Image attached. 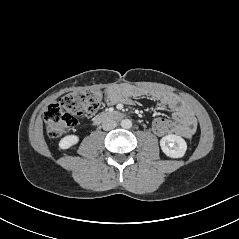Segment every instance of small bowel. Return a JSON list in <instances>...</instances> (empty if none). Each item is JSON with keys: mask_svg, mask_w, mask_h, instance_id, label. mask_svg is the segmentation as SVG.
<instances>
[{"mask_svg": "<svg viewBox=\"0 0 239 239\" xmlns=\"http://www.w3.org/2000/svg\"><path fill=\"white\" fill-rule=\"evenodd\" d=\"M144 96H150L171 112L173 120H170L172 122L170 134L174 133L184 138H191L194 135L197 129V120L193 112L172 93L118 84L108 88L106 104L110 106L127 104L133 98Z\"/></svg>", "mask_w": 239, "mask_h": 239, "instance_id": "small-bowel-1", "label": "small bowel"}]
</instances>
